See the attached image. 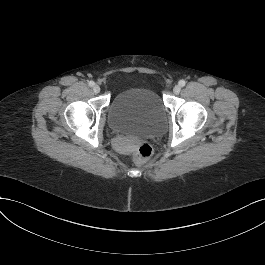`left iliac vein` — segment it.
<instances>
[{
    "label": "left iliac vein",
    "instance_id": "1",
    "mask_svg": "<svg viewBox=\"0 0 265 265\" xmlns=\"http://www.w3.org/2000/svg\"><path fill=\"white\" fill-rule=\"evenodd\" d=\"M181 91V87L179 85H176L174 88H173V93L174 94H179Z\"/></svg>",
    "mask_w": 265,
    "mask_h": 265
}]
</instances>
